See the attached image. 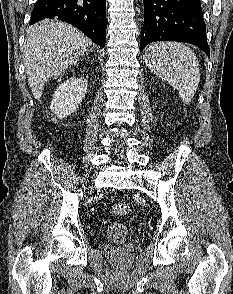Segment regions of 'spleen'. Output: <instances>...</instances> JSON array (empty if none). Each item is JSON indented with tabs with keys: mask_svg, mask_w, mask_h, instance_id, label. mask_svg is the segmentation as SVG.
<instances>
[{
	"mask_svg": "<svg viewBox=\"0 0 233 294\" xmlns=\"http://www.w3.org/2000/svg\"><path fill=\"white\" fill-rule=\"evenodd\" d=\"M144 61L178 91L185 104L191 102L200 80L199 61L192 49L179 42H156L146 48Z\"/></svg>",
	"mask_w": 233,
	"mask_h": 294,
	"instance_id": "obj_1",
	"label": "spleen"
}]
</instances>
